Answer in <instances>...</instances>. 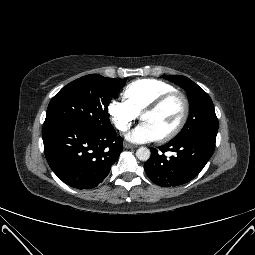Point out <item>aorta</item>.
Instances as JSON below:
<instances>
[{"label": "aorta", "instance_id": "762f6f07", "mask_svg": "<svg viewBox=\"0 0 255 255\" xmlns=\"http://www.w3.org/2000/svg\"><path fill=\"white\" fill-rule=\"evenodd\" d=\"M151 152L147 147H140L137 151H136V157L140 160V161H147L150 158Z\"/></svg>", "mask_w": 255, "mask_h": 255}]
</instances>
